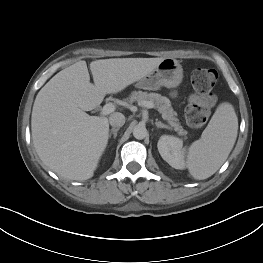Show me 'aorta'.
Instances as JSON below:
<instances>
[{
    "label": "aorta",
    "instance_id": "762f6f07",
    "mask_svg": "<svg viewBox=\"0 0 263 263\" xmlns=\"http://www.w3.org/2000/svg\"><path fill=\"white\" fill-rule=\"evenodd\" d=\"M148 135L147 129L145 126H141V125H137L134 129H133V136L138 139V140H142L144 139L146 136Z\"/></svg>",
    "mask_w": 263,
    "mask_h": 263
}]
</instances>
